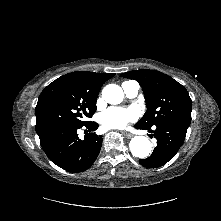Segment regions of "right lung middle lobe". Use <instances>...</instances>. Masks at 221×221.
I'll list each match as a JSON object with an SVG mask.
<instances>
[{
  "label": "right lung middle lobe",
  "instance_id": "1",
  "mask_svg": "<svg viewBox=\"0 0 221 221\" xmlns=\"http://www.w3.org/2000/svg\"><path fill=\"white\" fill-rule=\"evenodd\" d=\"M96 97L88 96L71 81L56 79L40 94L35 108L36 132L60 126H84L96 111Z\"/></svg>",
  "mask_w": 221,
  "mask_h": 221
}]
</instances>
